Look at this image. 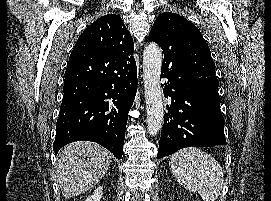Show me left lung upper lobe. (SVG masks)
Returning <instances> with one entry per match:
<instances>
[{
  "mask_svg": "<svg viewBox=\"0 0 271 201\" xmlns=\"http://www.w3.org/2000/svg\"><path fill=\"white\" fill-rule=\"evenodd\" d=\"M149 41L156 42L164 54L172 46L179 47L182 64L194 86L203 92L222 116L215 63L198 28L178 14L164 12L155 20Z\"/></svg>",
  "mask_w": 271,
  "mask_h": 201,
  "instance_id": "5c2ea615",
  "label": "left lung upper lobe"
}]
</instances>
